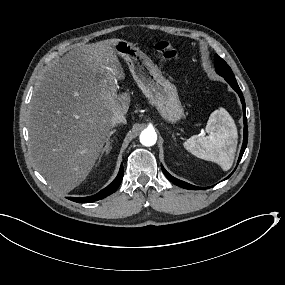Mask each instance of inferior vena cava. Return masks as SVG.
Returning a JSON list of instances; mask_svg holds the SVG:
<instances>
[{
	"label": "inferior vena cava",
	"instance_id": "1",
	"mask_svg": "<svg viewBox=\"0 0 285 285\" xmlns=\"http://www.w3.org/2000/svg\"><path fill=\"white\" fill-rule=\"evenodd\" d=\"M118 123L126 124V119L122 113L114 112L112 119H111V124L112 126H115Z\"/></svg>",
	"mask_w": 285,
	"mask_h": 285
}]
</instances>
